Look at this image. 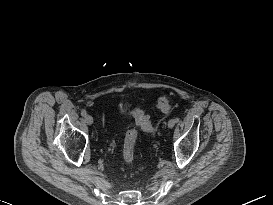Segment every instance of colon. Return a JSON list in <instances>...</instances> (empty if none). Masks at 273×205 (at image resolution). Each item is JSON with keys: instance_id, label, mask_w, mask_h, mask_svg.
I'll return each mask as SVG.
<instances>
[{"instance_id": "obj_1", "label": "colon", "mask_w": 273, "mask_h": 205, "mask_svg": "<svg viewBox=\"0 0 273 205\" xmlns=\"http://www.w3.org/2000/svg\"><path fill=\"white\" fill-rule=\"evenodd\" d=\"M157 108L163 113H169L170 104L169 98L166 96L160 97L157 100ZM136 124L144 131L151 132L153 130L152 123L147 114L142 110H136L133 113ZM137 140V132L133 129L128 130L123 145V159L126 163H132L135 157V145Z\"/></svg>"}]
</instances>
